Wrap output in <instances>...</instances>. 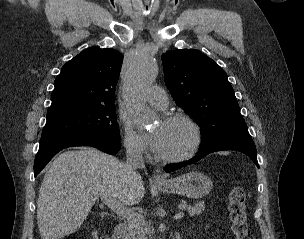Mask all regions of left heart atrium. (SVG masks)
I'll list each match as a JSON object with an SVG mask.
<instances>
[{
    "mask_svg": "<svg viewBox=\"0 0 304 239\" xmlns=\"http://www.w3.org/2000/svg\"><path fill=\"white\" fill-rule=\"evenodd\" d=\"M146 143L151 150L158 152L162 142V131H156L145 136Z\"/></svg>",
    "mask_w": 304,
    "mask_h": 239,
    "instance_id": "obj_1",
    "label": "left heart atrium"
}]
</instances>
